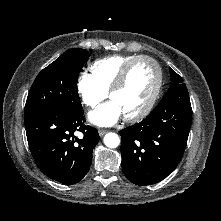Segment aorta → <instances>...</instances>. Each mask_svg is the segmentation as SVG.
I'll return each mask as SVG.
<instances>
[{
    "label": "aorta",
    "instance_id": "obj_1",
    "mask_svg": "<svg viewBox=\"0 0 221 221\" xmlns=\"http://www.w3.org/2000/svg\"><path fill=\"white\" fill-rule=\"evenodd\" d=\"M103 141H104V144L109 148H116L120 144L119 136L116 133H112V132L107 133L104 136Z\"/></svg>",
    "mask_w": 221,
    "mask_h": 221
}]
</instances>
